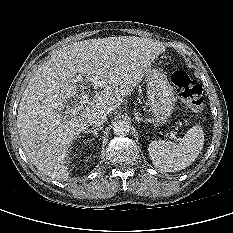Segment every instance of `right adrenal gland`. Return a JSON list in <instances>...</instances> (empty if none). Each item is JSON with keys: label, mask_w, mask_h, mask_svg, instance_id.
I'll use <instances>...</instances> for the list:
<instances>
[{"label": "right adrenal gland", "mask_w": 233, "mask_h": 233, "mask_svg": "<svg viewBox=\"0 0 233 233\" xmlns=\"http://www.w3.org/2000/svg\"><path fill=\"white\" fill-rule=\"evenodd\" d=\"M103 127H97V128H91V129H87L85 131L86 134L88 133H92L95 137H98V131H100Z\"/></svg>", "instance_id": "2a0ac1e0"}]
</instances>
